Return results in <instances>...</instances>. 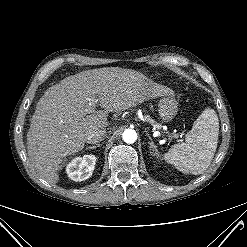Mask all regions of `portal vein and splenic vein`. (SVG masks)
Masks as SVG:
<instances>
[{
    "label": "portal vein and splenic vein",
    "instance_id": "obj_1",
    "mask_svg": "<svg viewBox=\"0 0 247 247\" xmlns=\"http://www.w3.org/2000/svg\"><path fill=\"white\" fill-rule=\"evenodd\" d=\"M90 106H92V107H93V105H92V104H90ZM89 111H90V112H92V111H93V108H90V109H89ZM175 137H177V136L175 135Z\"/></svg>",
    "mask_w": 247,
    "mask_h": 247
}]
</instances>
